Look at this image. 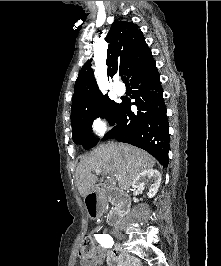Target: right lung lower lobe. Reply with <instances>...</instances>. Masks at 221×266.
I'll list each match as a JSON object with an SVG mask.
<instances>
[{
  "instance_id": "right-lung-lower-lobe-1",
  "label": "right lung lower lobe",
  "mask_w": 221,
  "mask_h": 266,
  "mask_svg": "<svg viewBox=\"0 0 221 266\" xmlns=\"http://www.w3.org/2000/svg\"><path fill=\"white\" fill-rule=\"evenodd\" d=\"M134 89L132 98L123 99L120 104L114 127L102 140L115 138L119 142L129 143L146 150L163 167L168 166L169 132L166 106L160 77L152 60L137 69L130 77ZM131 104L138 111H131Z\"/></svg>"
}]
</instances>
